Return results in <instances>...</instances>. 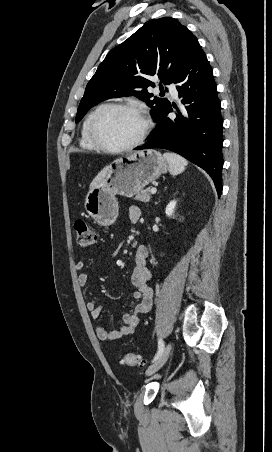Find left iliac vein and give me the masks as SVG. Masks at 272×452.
I'll use <instances>...</instances> for the list:
<instances>
[{
	"instance_id": "1",
	"label": "left iliac vein",
	"mask_w": 272,
	"mask_h": 452,
	"mask_svg": "<svg viewBox=\"0 0 272 452\" xmlns=\"http://www.w3.org/2000/svg\"><path fill=\"white\" fill-rule=\"evenodd\" d=\"M171 349H172V343L169 342L165 346V348H164L162 354L159 356V358L152 365H150L147 368V370L145 372L146 376L153 375L166 363V361L168 360V357L170 355Z\"/></svg>"
}]
</instances>
